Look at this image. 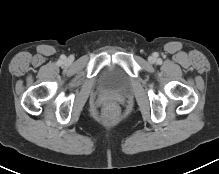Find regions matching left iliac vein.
Segmentation results:
<instances>
[{
    "label": "left iliac vein",
    "mask_w": 219,
    "mask_h": 174,
    "mask_svg": "<svg viewBox=\"0 0 219 174\" xmlns=\"http://www.w3.org/2000/svg\"><path fill=\"white\" fill-rule=\"evenodd\" d=\"M154 61H155V58H154V57H150V58H149V62H150V63H153Z\"/></svg>",
    "instance_id": "left-iliac-vein-1"
}]
</instances>
